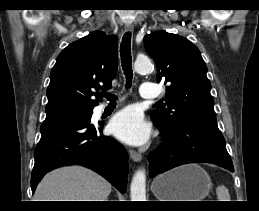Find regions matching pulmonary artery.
I'll list each match as a JSON object with an SVG mask.
<instances>
[{"mask_svg":"<svg viewBox=\"0 0 259 211\" xmlns=\"http://www.w3.org/2000/svg\"><path fill=\"white\" fill-rule=\"evenodd\" d=\"M140 95L145 99H156L159 97V90L155 84L144 82L140 88ZM106 105H101L100 110L103 109Z\"/></svg>","mask_w":259,"mask_h":211,"instance_id":"1","label":"pulmonary artery"}]
</instances>
